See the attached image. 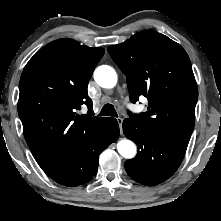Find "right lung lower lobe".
<instances>
[{
  "instance_id": "obj_1",
  "label": "right lung lower lobe",
  "mask_w": 221,
  "mask_h": 221,
  "mask_svg": "<svg viewBox=\"0 0 221 221\" xmlns=\"http://www.w3.org/2000/svg\"><path fill=\"white\" fill-rule=\"evenodd\" d=\"M118 137L119 126L116 119L104 118L88 138L43 170L59 184L69 187L84 184L96 175L101 152Z\"/></svg>"
}]
</instances>
